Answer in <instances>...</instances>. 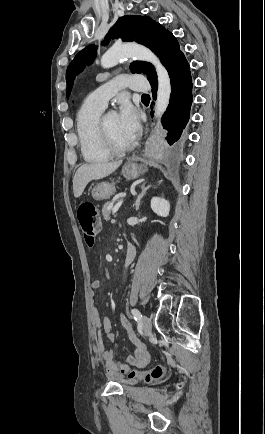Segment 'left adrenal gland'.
I'll list each match as a JSON object with an SVG mask.
<instances>
[{"mask_svg":"<svg viewBox=\"0 0 265 434\" xmlns=\"http://www.w3.org/2000/svg\"><path fill=\"white\" fill-rule=\"evenodd\" d=\"M149 188H151V186H146V184H142L141 186V194H139V196H137V200L135 202V204H133V206H135L136 210H139V206H140V202H141V198H143L144 194H146L147 190H149Z\"/></svg>","mask_w":265,"mask_h":434,"instance_id":"1","label":"left adrenal gland"}]
</instances>
